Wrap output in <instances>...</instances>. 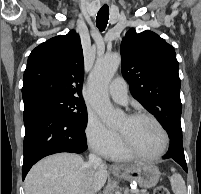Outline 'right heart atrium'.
I'll list each match as a JSON object with an SVG mask.
<instances>
[{"label": "right heart atrium", "mask_w": 201, "mask_h": 194, "mask_svg": "<svg viewBox=\"0 0 201 194\" xmlns=\"http://www.w3.org/2000/svg\"><path fill=\"white\" fill-rule=\"evenodd\" d=\"M84 133L89 147L101 156L110 154L120 143L119 135L91 112L88 113Z\"/></svg>", "instance_id": "right-heart-atrium-1"}]
</instances>
